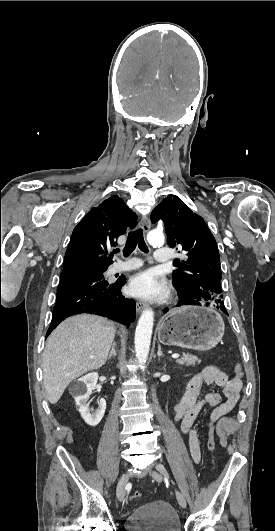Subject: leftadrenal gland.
<instances>
[{"label":"left adrenal gland","instance_id":"1","mask_svg":"<svg viewBox=\"0 0 275 531\" xmlns=\"http://www.w3.org/2000/svg\"><path fill=\"white\" fill-rule=\"evenodd\" d=\"M157 355H158V359H160V357H164V355H163V353L161 351V345H159V343H158Z\"/></svg>","mask_w":275,"mask_h":531}]
</instances>
